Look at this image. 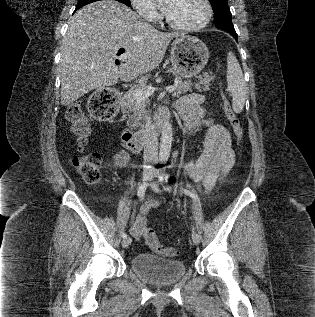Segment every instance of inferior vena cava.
I'll return each instance as SVG.
<instances>
[{
	"label": "inferior vena cava",
	"mask_w": 315,
	"mask_h": 317,
	"mask_svg": "<svg viewBox=\"0 0 315 317\" xmlns=\"http://www.w3.org/2000/svg\"><path fill=\"white\" fill-rule=\"evenodd\" d=\"M158 160V137L155 126L152 123L151 118L145 116L144 125V162L148 164L145 167L146 170L153 171L154 168L150 166Z\"/></svg>",
	"instance_id": "obj_1"
}]
</instances>
